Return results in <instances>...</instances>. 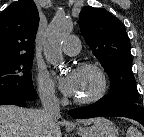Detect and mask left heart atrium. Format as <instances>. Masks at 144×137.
<instances>
[{
  "label": "left heart atrium",
  "mask_w": 144,
  "mask_h": 137,
  "mask_svg": "<svg viewBox=\"0 0 144 137\" xmlns=\"http://www.w3.org/2000/svg\"><path fill=\"white\" fill-rule=\"evenodd\" d=\"M60 87L64 94L75 96L78 88V74L76 70H71L60 78Z\"/></svg>",
  "instance_id": "obj_1"
}]
</instances>
